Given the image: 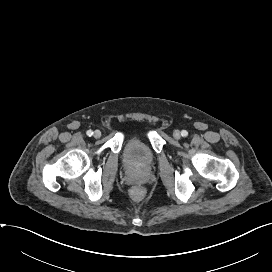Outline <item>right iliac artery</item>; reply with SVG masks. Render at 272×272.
<instances>
[{"label":"right iliac artery","instance_id":"82829eb1","mask_svg":"<svg viewBox=\"0 0 272 272\" xmlns=\"http://www.w3.org/2000/svg\"><path fill=\"white\" fill-rule=\"evenodd\" d=\"M89 137L93 135V131L92 130H88L86 133Z\"/></svg>","mask_w":272,"mask_h":272}]
</instances>
